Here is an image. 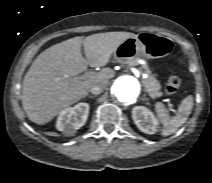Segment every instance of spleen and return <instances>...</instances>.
Listing matches in <instances>:
<instances>
[{"label": "spleen", "mask_w": 212, "mask_h": 183, "mask_svg": "<svg viewBox=\"0 0 212 183\" xmlns=\"http://www.w3.org/2000/svg\"><path fill=\"white\" fill-rule=\"evenodd\" d=\"M193 108V97L187 96L181 102L178 107V113L170 118L169 112L163 103H156L155 110L157 116L163 124L162 136H169L172 133L176 132L179 127H181L188 119Z\"/></svg>", "instance_id": "obj_1"}]
</instances>
